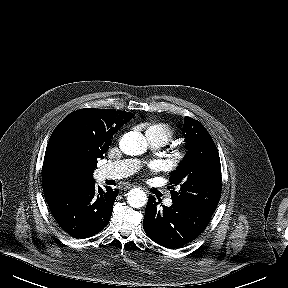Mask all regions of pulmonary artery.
<instances>
[{
    "label": "pulmonary artery",
    "instance_id": "e3ab8cb5",
    "mask_svg": "<svg viewBox=\"0 0 288 288\" xmlns=\"http://www.w3.org/2000/svg\"><path fill=\"white\" fill-rule=\"evenodd\" d=\"M149 143L155 147L159 148L166 144V141L160 137L152 136L147 134ZM139 163L136 160L126 159L111 162L103 165L97 173L99 179H121L132 175L137 171ZM166 206L172 205V199L167 198L164 201Z\"/></svg>",
    "mask_w": 288,
    "mask_h": 288
}]
</instances>
